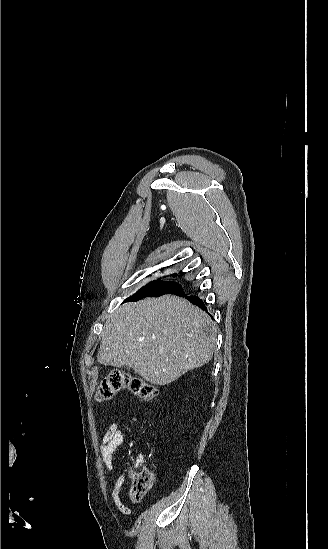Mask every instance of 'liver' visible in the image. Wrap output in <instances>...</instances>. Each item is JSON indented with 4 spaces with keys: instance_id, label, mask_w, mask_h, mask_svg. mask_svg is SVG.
<instances>
[{
    "instance_id": "obj_1",
    "label": "liver",
    "mask_w": 328,
    "mask_h": 549,
    "mask_svg": "<svg viewBox=\"0 0 328 549\" xmlns=\"http://www.w3.org/2000/svg\"><path fill=\"white\" fill-rule=\"evenodd\" d=\"M216 335L209 315L186 299L148 297L111 313L97 361L132 367L148 383L168 385L211 361Z\"/></svg>"
}]
</instances>
